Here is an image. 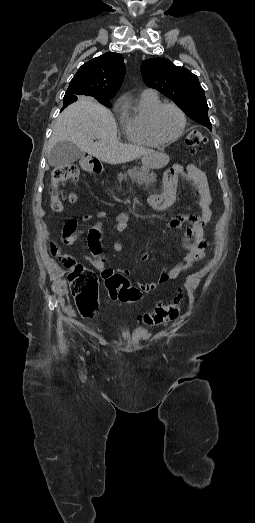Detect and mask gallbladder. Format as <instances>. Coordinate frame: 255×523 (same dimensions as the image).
I'll return each mask as SVG.
<instances>
[{"label": "gallbladder", "mask_w": 255, "mask_h": 523, "mask_svg": "<svg viewBox=\"0 0 255 523\" xmlns=\"http://www.w3.org/2000/svg\"><path fill=\"white\" fill-rule=\"evenodd\" d=\"M83 154L73 142H57L49 152V164L54 168H66L77 162Z\"/></svg>", "instance_id": "1"}]
</instances>
